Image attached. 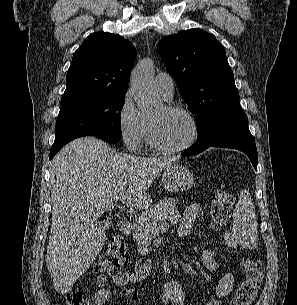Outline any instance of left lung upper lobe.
Here are the masks:
<instances>
[{"instance_id": "5c2ea615", "label": "left lung upper lobe", "mask_w": 297, "mask_h": 305, "mask_svg": "<svg viewBox=\"0 0 297 305\" xmlns=\"http://www.w3.org/2000/svg\"><path fill=\"white\" fill-rule=\"evenodd\" d=\"M157 48L195 115L199 138L194 145L245 119L225 50L211 34L185 30L161 39Z\"/></svg>"}]
</instances>
